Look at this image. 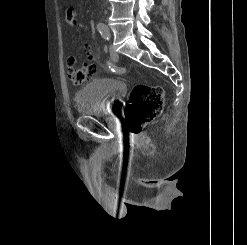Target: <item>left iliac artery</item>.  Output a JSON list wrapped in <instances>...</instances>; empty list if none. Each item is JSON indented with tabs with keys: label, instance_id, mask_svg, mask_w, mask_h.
<instances>
[{
	"label": "left iliac artery",
	"instance_id": "44dca946",
	"mask_svg": "<svg viewBox=\"0 0 247 245\" xmlns=\"http://www.w3.org/2000/svg\"><path fill=\"white\" fill-rule=\"evenodd\" d=\"M97 29L104 39L109 40L110 32H109L108 27L104 23H98Z\"/></svg>",
	"mask_w": 247,
	"mask_h": 245
}]
</instances>
